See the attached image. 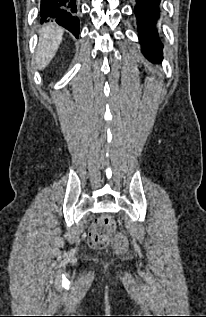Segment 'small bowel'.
<instances>
[{
	"mask_svg": "<svg viewBox=\"0 0 206 317\" xmlns=\"http://www.w3.org/2000/svg\"><path fill=\"white\" fill-rule=\"evenodd\" d=\"M96 225H97V223H94V224H93V227H92V229H93V228H94V227H95Z\"/></svg>",
	"mask_w": 206,
	"mask_h": 317,
	"instance_id": "1",
	"label": "small bowel"
}]
</instances>
